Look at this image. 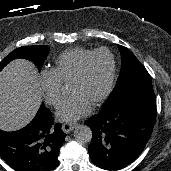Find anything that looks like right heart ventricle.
I'll use <instances>...</instances> for the list:
<instances>
[{
	"label": "right heart ventricle",
	"mask_w": 171,
	"mask_h": 171,
	"mask_svg": "<svg viewBox=\"0 0 171 171\" xmlns=\"http://www.w3.org/2000/svg\"><path fill=\"white\" fill-rule=\"evenodd\" d=\"M92 52L85 48L68 49L56 58L51 71L61 83H68L81 62Z\"/></svg>",
	"instance_id": "1"
}]
</instances>
